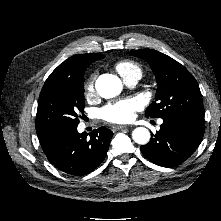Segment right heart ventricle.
Here are the masks:
<instances>
[{"label": "right heart ventricle", "mask_w": 221, "mask_h": 221, "mask_svg": "<svg viewBox=\"0 0 221 221\" xmlns=\"http://www.w3.org/2000/svg\"><path fill=\"white\" fill-rule=\"evenodd\" d=\"M115 70L125 80L133 76L141 77L142 68L141 66L132 60H122L115 64Z\"/></svg>", "instance_id": "right-heart-ventricle-1"}]
</instances>
